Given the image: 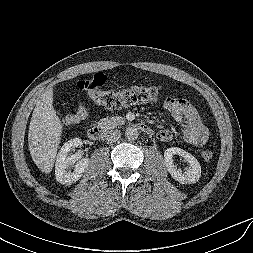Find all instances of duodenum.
I'll return each instance as SVG.
<instances>
[{
	"instance_id": "1",
	"label": "duodenum",
	"mask_w": 253,
	"mask_h": 253,
	"mask_svg": "<svg viewBox=\"0 0 253 253\" xmlns=\"http://www.w3.org/2000/svg\"><path fill=\"white\" fill-rule=\"evenodd\" d=\"M135 126L142 131L143 133L147 134V135H152L153 134V130L152 128L144 123V122H137L135 124ZM105 134V128L102 125L99 124H95L93 126L90 127V129L88 130V136L92 139V140H100Z\"/></svg>"
}]
</instances>
